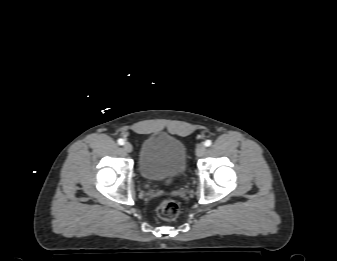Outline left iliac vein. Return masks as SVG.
I'll use <instances>...</instances> for the list:
<instances>
[{
  "label": "left iliac vein",
  "instance_id": "obj_1",
  "mask_svg": "<svg viewBox=\"0 0 337 261\" xmlns=\"http://www.w3.org/2000/svg\"><path fill=\"white\" fill-rule=\"evenodd\" d=\"M206 152V147L203 145V144H199L197 147H196V155L198 157H201L205 154Z\"/></svg>",
  "mask_w": 337,
  "mask_h": 261
}]
</instances>
